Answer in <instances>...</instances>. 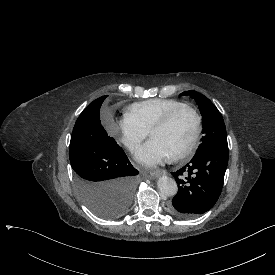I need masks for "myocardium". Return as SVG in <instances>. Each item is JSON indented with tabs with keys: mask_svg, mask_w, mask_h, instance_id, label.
<instances>
[{
	"mask_svg": "<svg viewBox=\"0 0 275 275\" xmlns=\"http://www.w3.org/2000/svg\"><path fill=\"white\" fill-rule=\"evenodd\" d=\"M188 111L193 118L194 122V130L191 139L189 140L188 144L178 151L175 155H173L171 158L172 160H180L185 158L187 155H189L193 149L195 148L199 137L201 133V119L197 111L188 105H184L178 108H175L168 112L161 120H159L157 123L154 124V126L149 131L150 136H152L153 132L160 129H165L170 126L174 118L180 114L181 112Z\"/></svg>",
	"mask_w": 275,
	"mask_h": 275,
	"instance_id": "f54148a6",
	"label": "myocardium"
}]
</instances>
